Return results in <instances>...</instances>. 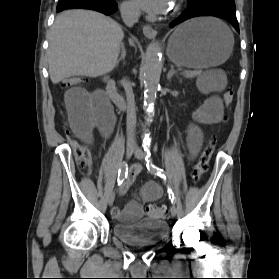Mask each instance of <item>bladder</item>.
Returning <instances> with one entry per match:
<instances>
[{
	"label": "bladder",
	"instance_id": "1",
	"mask_svg": "<svg viewBox=\"0 0 279 279\" xmlns=\"http://www.w3.org/2000/svg\"><path fill=\"white\" fill-rule=\"evenodd\" d=\"M168 233V225L158 219L143 218L134 224L116 222L113 234L122 242L132 246L159 244Z\"/></svg>",
	"mask_w": 279,
	"mask_h": 279
}]
</instances>
